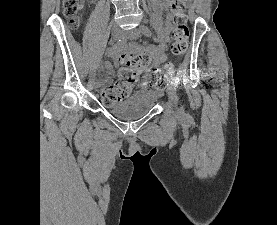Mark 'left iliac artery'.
I'll use <instances>...</instances> for the list:
<instances>
[{
  "label": "left iliac artery",
  "mask_w": 277,
  "mask_h": 225,
  "mask_svg": "<svg viewBox=\"0 0 277 225\" xmlns=\"http://www.w3.org/2000/svg\"><path fill=\"white\" fill-rule=\"evenodd\" d=\"M140 30L142 31V33H143L145 36H147V37H151V36H152L151 30H150L147 26L141 25V26H140ZM173 81H174L177 85L180 84V79H179L178 76H174V77H173Z\"/></svg>",
  "instance_id": "1"
}]
</instances>
